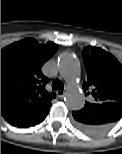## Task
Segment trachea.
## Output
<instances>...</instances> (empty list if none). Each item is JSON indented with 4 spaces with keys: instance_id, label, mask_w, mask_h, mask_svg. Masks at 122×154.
I'll use <instances>...</instances> for the list:
<instances>
[{
    "instance_id": "1",
    "label": "trachea",
    "mask_w": 122,
    "mask_h": 154,
    "mask_svg": "<svg viewBox=\"0 0 122 154\" xmlns=\"http://www.w3.org/2000/svg\"><path fill=\"white\" fill-rule=\"evenodd\" d=\"M52 89H59L63 90L64 89V84L60 80L56 79L52 82Z\"/></svg>"
}]
</instances>
